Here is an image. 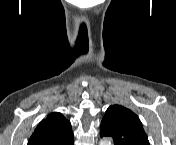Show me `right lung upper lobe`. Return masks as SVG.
Returning a JSON list of instances; mask_svg holds the SVG:
<instances>
[{
    "label": "right lung upper lobe",
    "instance_id": "right-lung-upper-lobe-1",
    "mask_svg": "<svg viewBox=\"0 0 176 145\" xmlns=\"http://www.w3.org/2000/svg\"><path fill=\"white\" fill-rule=\"evenodd\" d=\"M28 145H73L70 122L59 112L49 114L39 123Z\"/></svg>",
    "mask_w": 176,
    "mask_h": 145
}]
</instances>
